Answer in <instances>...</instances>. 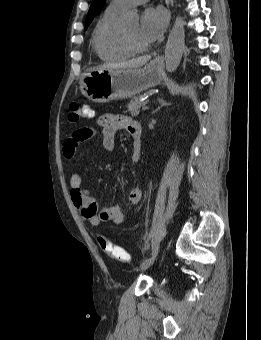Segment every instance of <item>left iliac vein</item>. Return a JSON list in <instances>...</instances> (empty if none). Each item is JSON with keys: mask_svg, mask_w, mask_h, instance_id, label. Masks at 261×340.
I'll use <instances>...</instances> for the list:
<instances>
[{"mask_svg": "<svg viewBox=\"0 0 261 340\" xmlns=\"http://www.w3.org/2000/svg\"><path fill=\"white\" fill-rule=\"evenodd\" d=\"M157 258V254L156 255H152L149 258H147L145 261H143V263L140 265V270H146L148 269L156 260Z\"/></svg>", "mask_w": 261, "mask_h": 340, "instance_id": "1", "label": "left iliac vein"}]
</instances>
